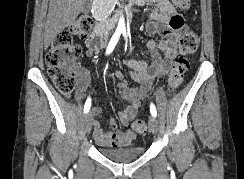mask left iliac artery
<instances>
[{"label": "left iliac artery", "mask_w": 244, "mask_h": 179, "mask_svg": "<svg viewBox=\"0 0 244 179\" xmlns=\"http://www.w3.org/2000/svg\"><path fill=\"white\" fill-rule=\"evenodd\" d=\"M122 33H123L125 39L127 40L126 31H123ZM150 112H151V115H152V116L156 117V115H157V111H156V108H155L154 104H152V103H151V105H150Z\"/></svg>", "instance_id": "left-iliac-artery-1"}]
</instances>
